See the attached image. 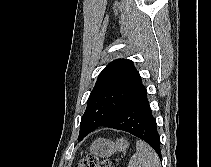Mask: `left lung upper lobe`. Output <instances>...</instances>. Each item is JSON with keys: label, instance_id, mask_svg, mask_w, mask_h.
Instances as JSON below:
<instances>
[{"label": "left lung upper lobe", "instance_id": "1", "mask_svg": "<svg viewBox=\"0 0 211 167\" xmlns=\"http://www.w3.org/2000/svg\"><path fill=\"white\" fill-rule=\"evenodd\" d=\"M145 90L133 61L117 59L99 74L81 118L78 139L109 122L129 101Z\"/></svg>", "mask_w": 211, "mask_h": 167}]
</instances>
